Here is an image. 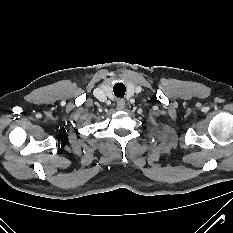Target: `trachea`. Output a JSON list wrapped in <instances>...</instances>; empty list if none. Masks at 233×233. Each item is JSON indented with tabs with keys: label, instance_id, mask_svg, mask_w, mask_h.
I'll return each mask as SVG.
<instances>
[{
	"label": "trachea",
	"instance_id": "1",
	"mask_svg": "<svg viewBox=\"0 0 233 233\" xmlns=\"http://www.w3.org/2000/svg\"><path fill=\"white\" fill-rule=\"evenodd\" d=\"M113 91L117 98H123L126 88L122 83H117L114 85Z\"/></svg>",
	"mask_w": 233,
	"mask_h": 233
}]
</instances>
